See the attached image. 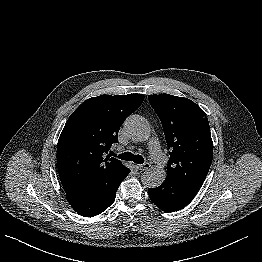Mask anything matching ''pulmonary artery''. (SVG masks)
Wrapping results in <instances>:
<instances>
[{
  "label": "pulmonary artery",
  "instance_id": "obj_1",
  "mask_svg": "<svg viewBox=\"0 0 262 262\" xmlns=\"http://www.w3.org/2000/svg\"><path fill=\"white\" fill-rule=\"evenodd\" d=\"M150 154L152 159L160 164V158L162 156L159 141L156 137H153L149 142Z\"/></svg>",
  "mask_w": 262,
  "mask_h": 262
}]
</instances>
